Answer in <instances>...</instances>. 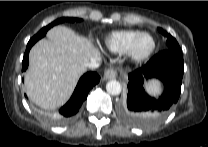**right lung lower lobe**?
Returning <instances> with one entry per match:
<instances>
[{"label":"right lung lower lobe","instance_id":"obj_1","mask_svg":"<svg viewBox=\"0 0 208 147\" xmlns=\"http://www.w3.org/2000/svg\"><path fill=\"white\" fill-rule=\"evenodd\" d=\"M45 36V35H44ZM43 36H33L26 47V51L22 61V71H26L28 67V55L31 47ZM100 81V77L95 72H88L84 74L70 98V100L59 110L58 113L49 116V119L56 124H63L72 119V117L78 112L83 101L87 98L90 89Z\"/></svg>","mask_w":208,"mask_h":147}]
</instances>
